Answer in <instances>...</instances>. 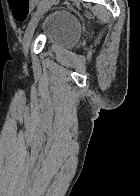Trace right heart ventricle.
<instances>
[{"instance_id":"right-heart-ventricle-1","label":"right heart ventricle","mask_w":140,"mask_h":196,"mask_svg":"<svg viewBox=\"0 0 140 196\" xmlns=\"http://www.w3.org/2000/svg\"><path fill=\"white\" fill-rule=\"evenodd\" d=\"M7 192H35V191H7Z\"/></svg>"}]
</instances>
